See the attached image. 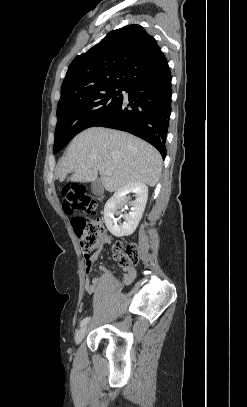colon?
<instances>
[{"instance_id":"obj_1","label":"colon","mask_w":247,"mask_h":407,"mask_svg":"<svg viewBox=\"0 0 247 407\" xmlns=\"http://www.w3.org/2000/svg\"><path fill=\"white\" fill-rule=\"evenodd\" d=\"M62 196L63 209L67 214L91 213L95 210L96 203L83 186L66 185L62 190ZM72 226L85 257L90 256L104 237L103 222L99 219L76 216L72 219ZM117 249L115 259L122 268H128L137 263L139 249L135 244L130 243L123 246L117 243Z\"/></svg>"}]
</instances>
